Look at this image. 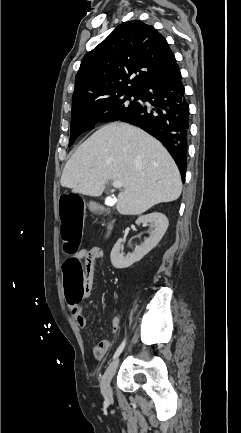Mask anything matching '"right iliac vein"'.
<instances>
[{
    "label": "right iliac vein",
    "instance_id": "obj_1",
    "mask_svg": "<svg viewBox=\"0 0 241 433\" xmlns=\"http://www.w3.org/2000/svg\"><path fill=\"white\" fill-rule=\"evenodd\" d=\"M118 365H119V358H116L114 361L110 363L101 380V392L104 398L108 401L113 400L111 380L117 370Z\"/></svg>",
    "mask_w": 241,
    "mask_h": 433
}]
</instances>
